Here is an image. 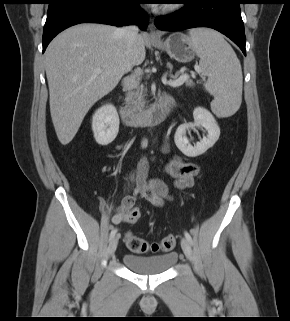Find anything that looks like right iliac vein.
I'll use <instances>...</instances> for the list:
<instances>
[{"label": "right iliac vein", "mask_w": 290, "mask_h": 321, "mask_svg": "<svg viewBox=\"0 0 290 321\" xmlns=\"http://www.w3.org/2000/svg\"><path fill=\"white\" fill-rule=\"evenodd\" d=\"M117 244H118V237H113L109 243V246H108V254L109 255L114 254V252L116 251V248H117Z\"/></svg>", "instance_id": "1"}]
</instances>
